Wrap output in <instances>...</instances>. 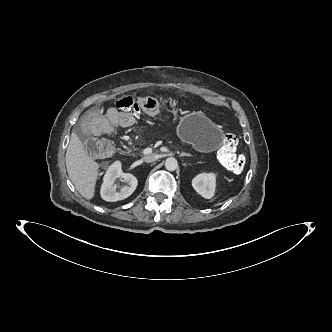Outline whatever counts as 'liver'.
<instances>
[{
	"instance_id": "liver-1",
	"label": "liver",
	"mask_w": 332,
	"mask_h": 332,
	"mask_svg": "<svg viewBox=\"0 0 332 332\" xmlns=\"http://www.w3.org/2000/svg\"><path fill=\"white\" fill-rule=\"evenodd\" d=\"M65 162L70 180L85 199H92L98 178L99 164L87 153L76 133L71 134Z\"/></svg>"
}]
</instances>
